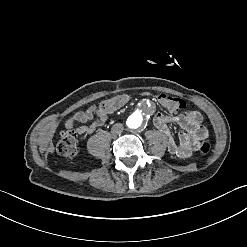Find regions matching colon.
Returning <instances> with one entry per match:
<instances>
[{
  "label": "colon",
  "instance_id": "obj_1",
  "mask_svg": "<svg viewBox=\"0 0 247 247\" xmlns=\"http://www.w3.org/2000/svg\"><path fill=\"white\" fill-rule=\"evenodd\" d=\"M129 99L127 92H115L114 96H108L103 108L117 109L125 101ZM157 99L161 101L163 108H168L174 112H181L184 109V102L176 97H169L166 92H159ZM213 145L209 140L203 141L200 145V151L203 154H209L212 151ZM57 151L60 155L66 158H73L77 154V138L73 133H65L61 136Z\"/></svg>",
  "mask_w": 247,
  "mask_h": 247
}]
</instances>
